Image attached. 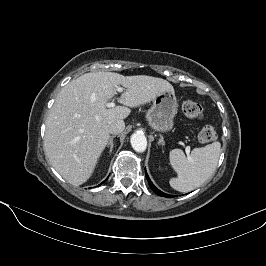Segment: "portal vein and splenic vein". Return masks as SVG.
I'll return each mask as SVG.
<instances>
[{"label":"portal vein and splenic vein","instance_id":"18ae733b","mask_svg":"<svg viewBox=\"0 0 266 266\" xmlns=\"http://www.w3.org/2000/svg\"><path fill=\"white\" fill-rule=\"evenodd\" d=\"M116 90L118 92H122L124 89L122 87H117ZM115 106V103L113 102H110V103H107L106 104V107L110 108V107H114ZM186 152L189 153L190 152V149L189 148H186Z\"/></svg>","mask_w":266,"mask_h":266}]
</instances>
